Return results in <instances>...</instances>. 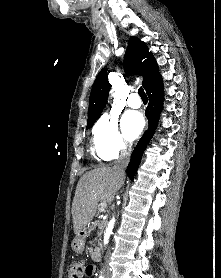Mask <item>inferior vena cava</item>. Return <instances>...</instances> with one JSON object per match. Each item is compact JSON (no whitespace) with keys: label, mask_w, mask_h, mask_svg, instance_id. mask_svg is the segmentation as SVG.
Returning <instances> with one entry per match:
<instances>
[{"label":"inferior vena cava","mask_w":221,"mask_h":278,"mask_svg":"<svg viewBox=\"0 0 221 278\" xmlns=\"http://www.w3.org/2000/svg\"><path fill=\"white\" fill-rule=\"evenodd\" d=\"M129 160H130V149H124L121 152L120 158L118 159L116 165L114 166V169L122 177H124V175H125V169L129 163ZM105 271H109V266L107 264V260H106V264H105Z\"/></svg>","instance_id":"inferior-vena-cava-1"}]
</instances>
